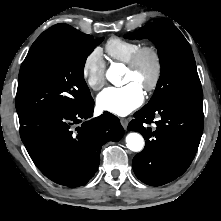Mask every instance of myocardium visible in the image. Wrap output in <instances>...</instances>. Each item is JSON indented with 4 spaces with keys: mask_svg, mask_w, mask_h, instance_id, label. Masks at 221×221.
Masks as SVG:
<instances>
[{
    "mask_svg": "<svg viewBox=\"0 0 221 221\" xmlns=\"http://www.w3.org/2000/svg\"><path fill=\"white\" fill-rule=\"evenodd\" d=\"M147 57L152 60L153 72L150 80L143 85V89L146 92H152L158 87L162 76V58L157 47L153 45L141 46L126 64L129 70L137 72Z\"/></svg>",
    "mask_w": 221,
    "mask_h": 221,
    "instance_id": "f54148a6",
    "label": "myocardium"
}]
</instances>
